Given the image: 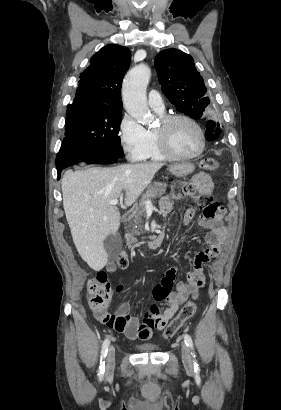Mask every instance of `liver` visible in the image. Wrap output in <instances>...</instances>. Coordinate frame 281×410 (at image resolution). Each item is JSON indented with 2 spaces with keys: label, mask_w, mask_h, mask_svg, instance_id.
Here are the masks:
<instances>
[{
  "label": "liver",
  "mask_w": 281,
  "mask_h": 410,
  "mask_svg": "<svg viewBox=\"0 0 281 410\" xmlns=\"http://www.w3.org/2000/svg\"><path fill=\"white\" fill-rule=\"evenodd\" d=\"M163 163L91 167L64 173L63 208L76 249L90 268L99 271L108 262L104 240L116 235L120 212L110 201L124 191V204L132 205L151 183Z\"/></svg>",
  "instance_id": "liver-1"
}]
</instances>
